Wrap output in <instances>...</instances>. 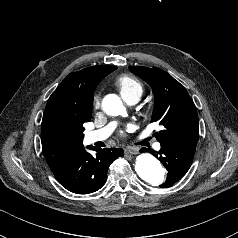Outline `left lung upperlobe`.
<instances>
[{
	"mask_svg": "<svg viewBox=\"0 0 238 238\" xmlns=\"http://www.w3.org/2000/svg\"><path fill=\"white\" fill-rule=\"evenodd\" d=\"M130 71L152 88L155 104L152 122L164 129L155 133L160 143L197 145L199 120L193 100L186 89L171 75L159 68L130 66Z\"/></svg>",
	"mask_w": 238,
	"mask_h": 238,
	"instance_id": "5c2ea615",
	"label": "left lung upper lobe"
}]
</instances>
